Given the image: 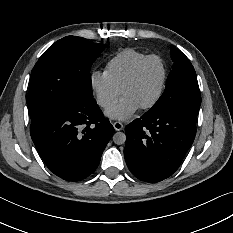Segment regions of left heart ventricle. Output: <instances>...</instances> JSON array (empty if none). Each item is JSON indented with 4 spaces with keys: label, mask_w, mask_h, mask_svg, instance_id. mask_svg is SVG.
<instances>
[{
    "label": "left heart ventricle",
    "mask_w": 233,
    "mask_h": 233,
    "mask_svg": "<svg viewBox=\"0 0 233 233\" xmlns=\"http://www.w3.org/2000/svg\"><path fill=\"white\" fill-rule=\"evenodd\" d=\"M164 76L160 60L149 61L141 71L137 80L125 91L124 96L135 100L140 107L151 103L157 96Z\"/></svg>",
    "instance_id": "1"
}]
</instances>
